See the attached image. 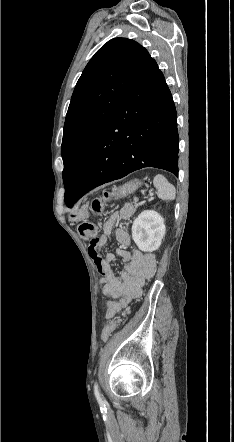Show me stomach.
<instances>
[{
	"label": "stomach",
	"mask_w": 234,
	"mask_h": 442,
	"mask_svg": "<svg viewBox=\"0 0 234 442\" xmlns=\"http://www.w3.org/2000/svg\"><path fill=\"white\" fill-rule=\"evenodd\" d=\"M142 182L140 180H132L120 187H114L112 192L109 194L111 199L117 200L119 198L126 197L128 194L135 192L140 186ZM89 217L88 207L83 206L80 210L71 215L70 220L72 221H81L85 220Z\"/></svg>",
	"instance_id": "stomach-1"
}]
</instances>
